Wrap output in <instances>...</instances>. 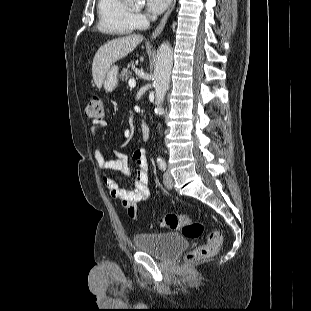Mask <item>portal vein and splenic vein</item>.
Listing matches in <instances>:
<instances>
[{
    "label": "portal vein and splenic vein",
    "mask_w": 311,
    "mask_h": 311,
    "mask_svg": "<svg viewBox=\"0 0 311 311\" xmlns=\"http://www.w3.org/2000/svg\"><path fill=\"white\" fill-rule=\"evenodd\" d=\"M128 84H129L130 87H135L136 81H135L134 79H130V80L128 81Z\"/></svg>",
    "instance_id": "obj_1"
}]
</instances>
